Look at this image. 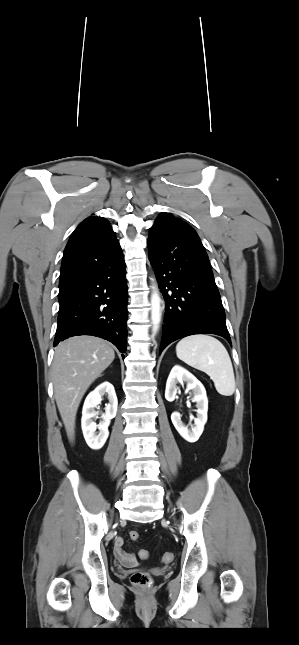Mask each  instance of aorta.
<instances>
[{"label": "aorta", "mask_w": 299, "mask_h": 645, "mask_svg": "<svg viewBox=\"0 0 299 645\" xmlns=\"http://www.w3.org/2000/svg\"><path fill=\"white\" fill-rule=\"evenodd\" d=\"M151 304H152L151 319L153 323V330L155 331L157 330L158 324L160 321V301L156 292L152 294Z\"/></svg>", "instance_id": "1"}]
</instances>
